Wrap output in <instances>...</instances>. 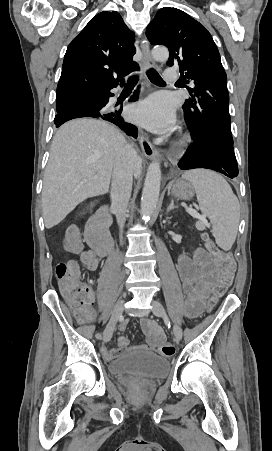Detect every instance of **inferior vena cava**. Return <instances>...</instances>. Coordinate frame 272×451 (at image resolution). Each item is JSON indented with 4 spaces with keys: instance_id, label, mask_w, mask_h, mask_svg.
I'll return each mask as SVG.
<instances>
[{
    "instance_id": "1",
    "label": "inferior vena cava",
    "mask_w": 272,
    "mask_h": 451,
    "mask_svg": "<svg viewBox=\"0 0 272 451\" xmlns=\"http://www.w3.org/2000/svg\"><path fill=\"white\" fill-rule=\"evenodd\" d=\"M137 158V152L132 146H124L115 158L111 184V208L115 212L117 224L120 227L125 224L127 206L132 192L133 168Z\"/></svg>"
}]
</instances>
